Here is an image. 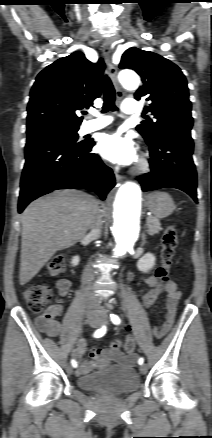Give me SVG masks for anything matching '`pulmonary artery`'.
Segmentation results:
<instances>
[{"instance_id":"obj_1","label":"pulmonary artery","mask_w":212,"mask_h":438,"mask_svg":"<svg viewBox=\"0 0 212 438\" xmlns=\"http://www.w3.org/2000/svg\"><path fill=\"white\" fill-rule=\"evenodd\" d=\"M141 105L133 99L125 100L122 104V112L124 114L132 115L140 111ZM112 117L108 114H99L95 120L88 121L83 125V132L90 133L96 130H100L112 122Z\"/></svg>"}]
</instances>
